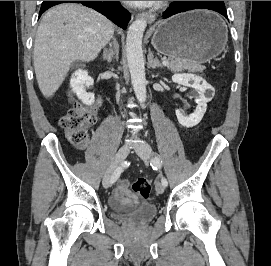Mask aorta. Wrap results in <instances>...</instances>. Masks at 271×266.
I'll use <instances>...</instances> for the list:
<instances>
[{
    "mask_svg": "<svg viewBox=\"0 0 271 266\" xmlns=\"http://www.w3.org/2000/svg\"><path fill=\"white\" fill-rule=\"evenodd\" d=\"M146 26V19H136L128 28L126 38V54L131 83L135 96L142 105L147 97L145 63L142 50V39Z\"/></svg>",
    "mask_w": 271,
    "mask_h": 266,
    "instance_id": "762f6f07",
    "label": "aorta"
}]
</instances>
